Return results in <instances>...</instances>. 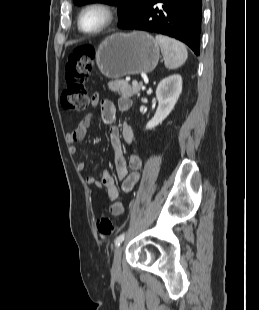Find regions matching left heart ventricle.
<instances>
[{
  "label": "left heart ventricle",
  "instance_id": "1",
  "mask_svg": "<svg viewBox=\"0 0 259 310\" xmlns=\"http://www.w3.org/2000/svg\"><path fill=\"white\" fill-rule=\"evenodd\" d=\"M104 18L102 11L97 9L89 10L83 15L82 25L86 30H93L103 23Z\"/></svg>",
  "mask_w": 259,
  "mask_h": 310
}]
</instances>
